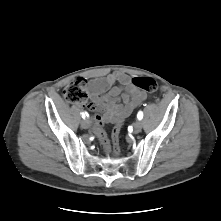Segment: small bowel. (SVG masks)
Here are the masks:
<instances>
[{
    "instance_id": "c3829d8e",
    "label": "small bowel",
    "mask_w": 221,
    "mask_h": 221,
    "mask_svg": "<svg viewBox=\"0 0 221 221\" xmlns=\"http://www.w3.org/2000/svg\"><path fill=\"white\" fill-rule=\"evenodd\" d=\"M118 83V85H115ZM94 104L96 126L107 119L116 124H122L133 110L147 98V93L132 83V78L121 71H115L103 78L89 82ZM105 109L103 117L98 111Z\"/></svg>"
}]
</instances>
